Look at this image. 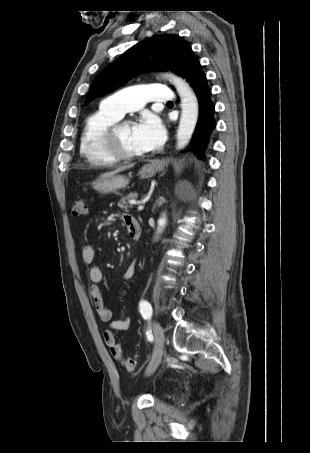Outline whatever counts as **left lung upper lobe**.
<instances>
[{"mask_svg":"<svg viewBox=\"0 0 310 453\" xmlns=\"http://www.w3.org/2000/svg\"><path fill=\"white\" fill-rule=\"evenodd\" d=\"M192 54L189 45L177 35H158L147 39L125 52L96 76L85 102L114 90L132 76L148 69L172 70L181 75ZM149 55H153V59L146 62Z\"/></svg>","mask_w":310,"mask_h":453,"instance_id":"left-lung-upper-lobe-1","label":"left lung upper lobe"}]
</instances>
